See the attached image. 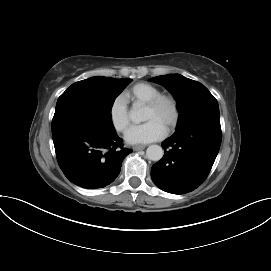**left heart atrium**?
<instances>
[{
    "label": "left heart atrium",
    "mask_w": 271,
    "mask_h": 271,
    "mask_svg": "<svg viewBox=\"0 0 271 271\" xmlns=\"http://www.w3.org/2000/svg\"><path fill=\"white\" fill-rule=\"evenodd\" d=\"M166 134V128L156 120L132 126L125 133V140L129 144H144L160 140Z\"/></svg>",
    "instance_id": "obj_1"
}]
</instances>
